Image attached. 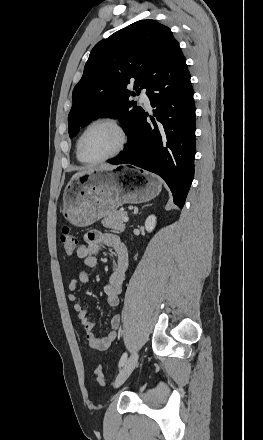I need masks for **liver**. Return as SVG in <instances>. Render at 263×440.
Returning a JSON list of instances; mask_svg holds the SVG:
<instances>
[{"instance_id":"liver-1","label":"liver","mask_w":263,"mask_h":440,"mask_svg":"<svg viewBox=\"0 0 263 440\" xmlns=\"http://www.w3.org/2000/svg\"><path fill=\"white\" fill-rule=\"evenodd\" d=\"M113 169H115V166L105 164V165H102V166L97 167V168H95V169H89V170H86V171L77 172V173H75V174L73 175V177L79 176V175H81V174H84V173H86V172H88V171H92V170H113Z\"/></svg>"}]
</instances>
